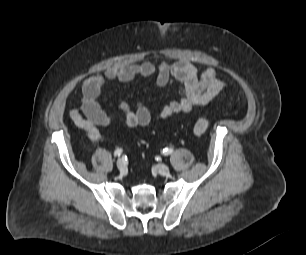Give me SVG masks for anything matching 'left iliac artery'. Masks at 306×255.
I'll return each mask as SVG.
<instances>
[{
  "label": "left iliac artery",
  "instance_id": "44dca946",
  "mask_svg": "<svg viewBox=\"0 0 306 255\" xmlns=\"http://www.w3.org/2000/svg\"><path fill=\"white\" fill-rule=\"evenodd\" d=\"M173 152V148H165L163 149L162 153L163 155H169Z\"/></svg>",
  "mask_w": 306,
  "mask_h": 255
}]
</instances>
